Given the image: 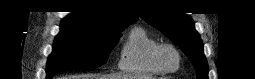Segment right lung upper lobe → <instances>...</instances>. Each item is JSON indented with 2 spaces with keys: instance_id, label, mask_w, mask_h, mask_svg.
Wrapping results in <instances>:
<instances>
[{
  "instance_id": "right-lung-upper-lobe-1",
  "label": "right lung upper lobe",
  "mask_w": 255,
  "mask_h": 79,
  "mask_svg": "<svg viewBox=\"0 0 255 79\" xmlns=\"http://www.w3.org/2000/svg\"><path fill=\"white\" fill-rule=\"evenodd\" d=\"M137 12L105 11L93 3H83L61 22V29L114 33L138 19Z\"/></svg>"
}]
</instances>
